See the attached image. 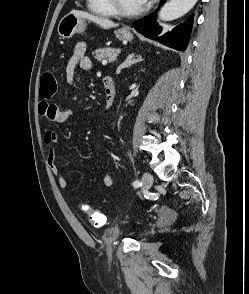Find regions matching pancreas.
Returning a JSON list of instances; mask_svg holds the SVG:
<instances>
[{
	"mask_svg": "<svg viewBox=\"0 0 249 294\" xmlns=\"http://www.w3.org/2000/svg\"><path fill=\"white\" fill-rule=\"evenodd\" d=\"M119 53L118 49H112V48H100L97 49L94 53V58L97 61H102L104 58L117 56Z\"/></svg>",
	"mask_w": 249,
	"mask_h": 294,
	"instance_id": "cf45deb5",
	"label": "pancreas"
}]
</instances>
